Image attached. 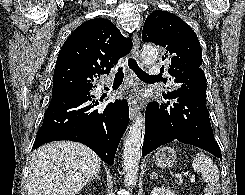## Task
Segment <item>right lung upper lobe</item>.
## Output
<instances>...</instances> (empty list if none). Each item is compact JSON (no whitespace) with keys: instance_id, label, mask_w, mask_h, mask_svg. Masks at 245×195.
Masks as SVG:
<instances>
[{"instance_id":"obj_1","label":"right lung upper lobe","mask_w":245,"mask_h":195,"mask_svg":"<svg viewBox=\"0 0 245 195\" xmlns=\"http://www.w3.org/2000/svg\"><path fill=\"white\" fill-rule=\"evenodd\" d=\"M125 38L107 19H91L80 25L63 44L55 66L52 95L93 85L95 77L108 74L131 51Z\"/></svg>"}]
</instances>
